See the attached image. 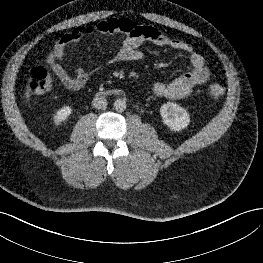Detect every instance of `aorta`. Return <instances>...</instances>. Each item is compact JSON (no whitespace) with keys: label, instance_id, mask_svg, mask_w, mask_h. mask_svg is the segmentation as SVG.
<instances>
[{"label":"aorta","instance_id":"aorta-1","mask_svg":"<svg viewBox=\"0 0 263 263\" xmlns=\"http://www.w3.org/2000/svg\"><path fill=\"white\" fill-rule=\"evenodd\" d=\"M126 107H127V103L125 99H117L114 102V108L118 112H123L126 109Z\"/></svg>","mask_w":263,"mask_h":263}]
</instances>
